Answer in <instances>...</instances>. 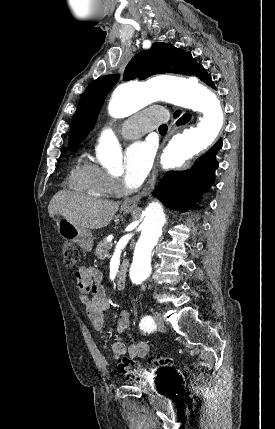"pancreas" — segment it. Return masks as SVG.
Listing matches in <instances>:
<instances>
[{
    "label": "pancreas",
    "instance_id": "cf45deb5",
    "mask_svg": "<svg viewBox=\"0 0 275 429\" xmlns=\"http://www.w3.org/2000/svg\"><path fill=\"white\" fill-rule=\"evenodd\" d=\"M112 247H113V243L107 242V240L105 239L99 242L95 251L97 258L100 260H104L105 258L110 257L109 252L112 249Z\"/></svg>",
    "mask_w": 275,
    "mask_h": 429
}]
</instances>
